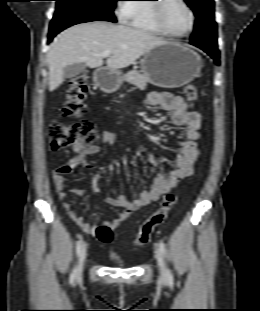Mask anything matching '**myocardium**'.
Wrapping results in <instances>:
<instances>
[{
  "instance_id": "1",
  "label": "myocardium",
  "mask_w": 260,
  "mask_h": 311,
  "mask_svg": "<svg viewBox=\"0 0 260 311\" xmlns=\"http://www.w3.org/2000/svg\"><path fill=\"white\" fill-rule=\"evenodd\" d=\"M166 0H156V2L154 4H152V15H153V19L157 25V27L160 29V31L169 36V37H173V38H183L188 36L194 29L195 26V13L193 11V9L191 8V6L188 4V2L186 0H179V2L187 9L189 15H190V26L188 28V30L184 33L181 34H176L173 33L171 31H169L167 29V27L165 26L164 20H163V8H164V4H165Z\"/></svg>"
}]
</instances>
